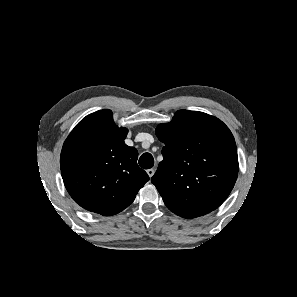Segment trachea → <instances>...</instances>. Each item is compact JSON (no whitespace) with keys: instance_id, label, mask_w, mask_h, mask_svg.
<instances>
[{"instance_id":"obj_1","label":"trachea","mask_w":297,"mask_h":297,"mask_svg":"<svg viewBox=\"0 0 297 297\" xmlns=\"http://www.w3.org/2000/svg\"><path fill=\"white\" fill-rule=\"evenodd\" d=\"M139 165L143 169H150L154 165V158L150 153H144L139 158Z\"/></svg>"}]
</instances>
